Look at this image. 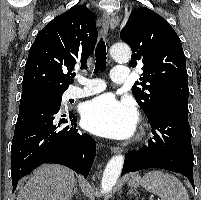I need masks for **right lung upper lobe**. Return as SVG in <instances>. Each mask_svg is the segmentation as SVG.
I'll return each mask as SVG.
<instances>
[{"label": "right lung upper lobe", "mask_w": 201, "mask_h": 200, "mask_svg": "<svg viewBox=\"0 0 201 200\" xmlns=\"http://www.w3.org/2000/svg\"><path fill=\"white\" fill-rule=\"evenodd\" d=\"M97 40L95 15L83 5H75L54 18L36 36L29 51L22 96L63 94L73 79L75 64L85 68Z\"/></svg>", "instance_id": "1"}]
</instances>
